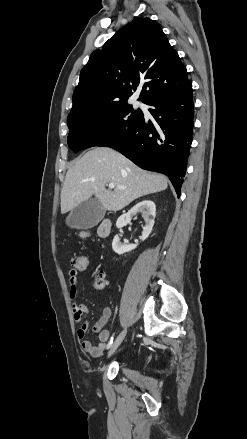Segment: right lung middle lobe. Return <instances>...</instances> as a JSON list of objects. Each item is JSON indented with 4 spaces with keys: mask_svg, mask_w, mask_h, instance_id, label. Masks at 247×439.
<instances>
[{
    "mask_svg": "<svg viewBox=\"0 0 247 439\" xmlns=\"http://www.w3.org/2000/svg\"><path fill=\"white\" fill-rule=\"evenodd\" d=\"M142 115L124 100L68 117V146L74 152L93 146H108L128 133Z\"/></svg>",
    "mask_w": 247,
    "mask_h": 439,
    "instance_id": "obj_1",
    "label": "right lung middle lobe"
}]
</instances>
